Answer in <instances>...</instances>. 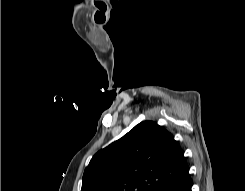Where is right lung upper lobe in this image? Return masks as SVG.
<instances>
[{
  "instance_id": "right-lung-upper-lobe-1",
  "label": "right lung upper lobe",
  "mask_w": 245,
  "mask_h": 191,
  "mask_svg": "<svg viewBox=\"0 0 245 191\" xmlns=\"http://www.w3.org/2000/svg\"><path fill=\"white\" fill-rule=\"evenodd\" d=\"M187 171L183 151L171 133L143 121L93 156L81 191H158Z\"/></svg>"
}]
</instances>
